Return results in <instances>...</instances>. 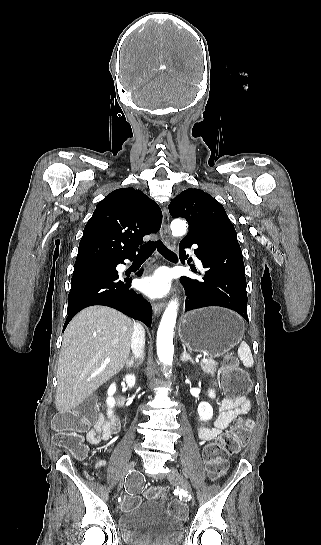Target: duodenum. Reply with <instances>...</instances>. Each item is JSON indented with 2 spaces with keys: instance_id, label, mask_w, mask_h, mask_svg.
I'll return each instance as SVG.
<instances>
[{
  "instance_id": "1",
  "label": "duodenum",
  "mask_w": 321,
  "mask_h": 545,
  "mask_svg": "<svg viewBox=\"0 0 321 545\" xmlns=\"http://www.w3.org/2000/svg\"><path fill=\"white\" fill-rule=\"evenodd\" d=\"M117 402H118V404H119L120 406H122V405L124 404L125 400H124L123 397H118Z\"/></svg>"
}]
</instances>
